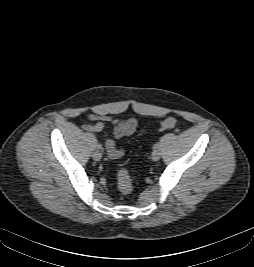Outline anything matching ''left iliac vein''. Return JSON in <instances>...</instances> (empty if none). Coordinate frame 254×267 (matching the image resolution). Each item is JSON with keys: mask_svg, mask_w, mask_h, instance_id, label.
I'll use <instances>...</instances> for the list:
<instances>
[{"mask_svg": "<svg viewBox=\"0 0 254 267\" xmlns=\"http://www.w3.org/2000/svg\"><path fill=\"white\" fill-rule=\"evenodd\" d=\"M160 157H161V153H160V151H159L158 149H156V150H154V151L152 152V159H153L154 161L159 160Z\"/></svg>", "mask_w": 254, "mask_h": 267, "instance_id": "left-iliac-vein-1", "label": "left iliac vein"}]
</instances>
